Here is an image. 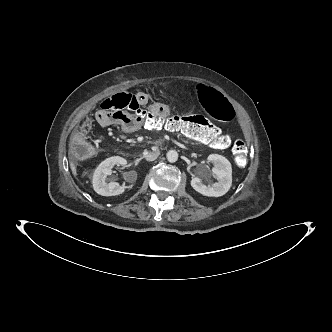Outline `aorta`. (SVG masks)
<instances>
[{
    "instance_id": "1",
    "label": "aorta",
    "mask_w": 332,
    "mask_h": 332,
    "mask_svg": "<svg viewBox=\"0 0 332 332\" xmlns=\"http://www.w3.org/2000/svg\"><path fill=\"white\" fill-rule=\"evenodd\" d=\"M178 159V153L176 150H169L167 152V160L170 162V163H174L176 162Z\"/></svg>"
}]
</instances>
